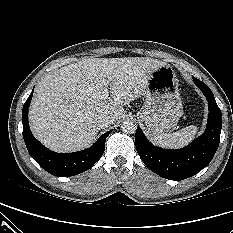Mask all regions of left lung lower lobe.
<instances>
[{"mask_svg":"<svg viewBox=\"0 0 233 233\" xmlns=\"http://www.w3.org/2000/svg\"><path fill=\"white\" fill-rule=\"evenodd\" d=\"M194 83L208 101V122L203 135L179 150L153 146L139 127L135 135L136 150L144 164L157 175L170 180H183L204 169L215 155L220 142L222 115L210 88L193 77Z\"/></svg>","mask_w":233,"mask_h":233,"instance_id":"obj_1","label":"left lung lower lobe"}]
</instances>
